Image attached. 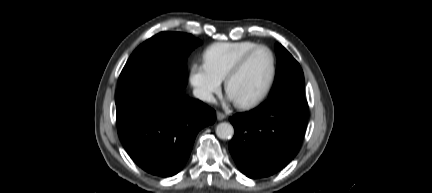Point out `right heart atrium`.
Returning <instances> with one entry per match:
<instances>
[{"instance_id":"right-heart-atrium-1","label":"right heart atrium","mask_w":432,"mask_h":193,"mask_svg":"<svg viewBox=\"0 0 432 193\" xmlns=\"http://www.w3.org/2000/svg\"><path fill=\"white\" fill-rule=\"evenodd\" d=\"M189 81L195 95L205 102H211L221 89V81L208 69L205 62L191 64Z\"/></svg>"}]
</instances>
